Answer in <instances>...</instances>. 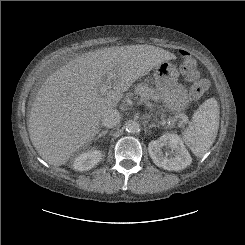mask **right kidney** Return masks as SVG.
<instances>
[{"instance_id": "right-kidney-1", "label": "right kidney", "mask_w": 245, "mask_h": 245, "mask_svg": "<svg viewBox=\"0 0 245 245\" xmlns=\"http://www.w3.org/2000/svg\"><path fill=\"white\" fill-rule=\"evenodd\" d=\"M102 158L99 150H90L81 153L73 160V168L77 171H86L93 168Z\"/></svg>"}]
</instances>
